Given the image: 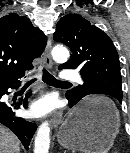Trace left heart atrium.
<instances>
[{
    "label": "left heart atrium",
    "instance_id": "39dd6f15",
    "mask_svg": "<svg viewBox=\"0 0 130 153\" xmlns=\"http://www.w3.org/2000/svg\"><path fill=\"white\" fill-rule=\"evenodd\" d=\"M55 102L48 96H43L35 100L30 106V114L33 117H42L53 110Z\"/></svg>",
    "mask_w": 130,
    "mask_h": 153
}]
</instances>
